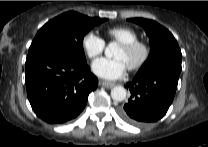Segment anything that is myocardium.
<instances>
[{"instance_id":"myocardium-1","label":"myocardium","mask_w":208,"mask_h":147,"mask_svg":"<svg viewBox=\"0 0 208 147\" xmlns=\"http://www.w3.org/2000/svg\"><path fill=\"white\" fill-rule=\"evenodd\" d=\"M120 46L127 51L139 50L141 53L139 59L134 64L128 67L130 71H135L142 68L148 61L151 54V48L149 44L139 39L131 42L121 43Z\"/></svg>"}]
</instances>
